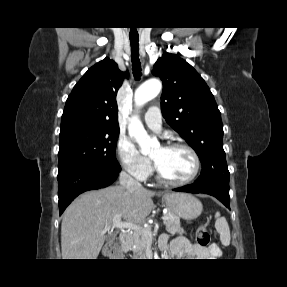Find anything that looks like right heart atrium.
<instances>
[{"label": "right heart atrium", "mask_w": 287, "mask_h": 287, "mask_svg": "<svg viewBox=\"0 0 287 287\" xmlns=\"http://www.w3.org/2000/svg\"><path fill=\"white\" fill-rule=\"evenodd\" d=\"M116 155L121 166L137 180L144 181L150 176L152 171L151 160L142 155L127 137L120 136L118 138Z\"/></svg>", "instance_id": "right-heart-atrium-1"}]
</instances>
